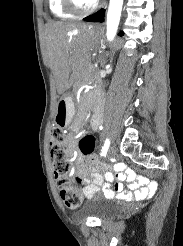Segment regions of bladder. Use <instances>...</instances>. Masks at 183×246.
Returning <instances> with one entry per match:
<instances>
[{
    "label": "bladder",
    "instance_id": "obj_1",
    "mask_svg": "<svg viewBox=\"0 0 183 246\" xmlns=\"http://www.w3.org/2000/svg\"><path fill=\"white\" fill-rule=\"evenodd\" d=\"M118 209L119 205L114 200L96 195L84 203L78 214L105 220L115 215Z\"/></svg>",
    "mask_w": 183,
    "mask_h": 246
}]
</instances>
